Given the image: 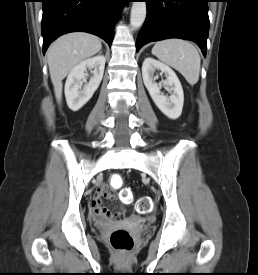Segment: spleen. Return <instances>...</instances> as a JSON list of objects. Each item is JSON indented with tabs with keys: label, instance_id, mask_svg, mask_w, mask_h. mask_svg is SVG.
Here are the masks:
<instances>
[{
	"label": "spleen",
	"instance_id": "obj_1",
	"mask_svg": "<svg viewBox=\"0 0 258 275\" xmlns=\"http://www.w3.org/2000/svg\"><path fill=\"white\" fill-rule=\"evenodd\" d=\"M152 54L179 71L190 85L198 82L201 58L192 43L175 38L158 41L152 48Z\"/></svg>",
	"mask_w": 258,
	"mask_h": 275
}]
</instances>
